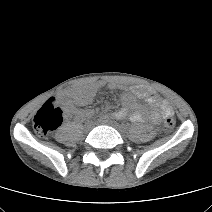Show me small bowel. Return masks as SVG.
<instances>
[{"instance_id":"obj_1","label":"small bowel","mask_w":212,"mask_h":212,"mask_svg":"<svg viewBox=\"0 0 212 212\" xmlns=\"http://www.w3.org/2000/svg\"><path fill=\"white\" fill-rule=\"evenodd\" d=\"M103 88L109 90L120 88L124 91L121 96L122 107L113 113V117L117 119H124L129 116L133 122L150 121L154 124H159L163 117L173 115V109L169 103L153 91L141 88L128 89L118 86L115 82L99 80L94 83L76 86L61 96L65 118L74 117L77 120H83L92 114V111L83 108L89 105L97 92ZM137 99H143L149 105L159 107L160 113L146 111L137 103ZM131 110L133 112L129 114Z\"/></svg>"}]
</instances>
